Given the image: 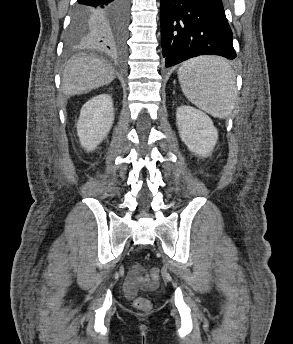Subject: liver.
<instances>
[{"label": "liver", "instance_id": "obj_1", "mask_svg": "<svg viewBox=\"0 0 293 344\" xmlns=\"http://www.w3.org/2000/svg\"><path fill=\"white\" fill-rule=\"evenodd\" d=\"M115 70L102 59L88 56L72 59L62 76V91L66 96L80 95L110 84Z\"/></svg>", "mask_w": 293, "mask_h": 344}]
</instances>
